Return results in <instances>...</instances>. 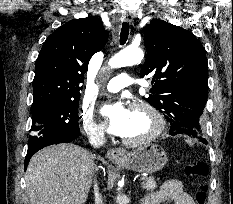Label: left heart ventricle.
Listing matches in <instances>:
<instances>
[{
    "mask_svg": "<svg viewBox=\"0 0 233 204\" xmlns=\"http://www.w3.org/2000/svg\"><path fill=\"white\" fill-rule=\"evenodd\" d=\"M153 128L154 122L145 110H130L128 125L122 137L127 139H138L149 134Z\"/></svg>",
    "mask_w": 233,
    "mask_h": 204,
    "instance_id": "left-heart-ventricle-1",
    "label": "left heart ventricle"
}]
</instances>
